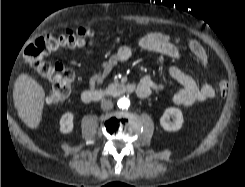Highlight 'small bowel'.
I'll return each instance as SVG.
<instances>
[{"label": "small bowel", "mask_w": 245, "mask_h": 187, "mask_svg": "<svg viewBox=\"0 0 245 187\" xmlns=\"http://www.w3.org/2000/svg\"><path fill=\"white\" fill-rule=\"evenodd\" d=\"M186 45L191 53L198 59L201 67L208 66V55L204 47L192 37H171L160 32H148L138 38L135 43L121 45L91 76L89 88L93 89L101 85L111 71L119 64L127 62L133 55L135 47L158 53L168 58L179 59L181 52L179 46ZM169 76L181 85L179 91L169 97V101L182 107H190L197 102L212 99L215 91L212 86L203 82H197L191 75L177 66L168 68ZM138 96L145 98L152 91L162 89V84L147 75L138 82Z\"/></svg>", "instance_id": "obj_1"}]
</instances>
